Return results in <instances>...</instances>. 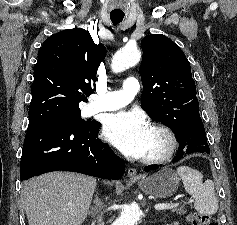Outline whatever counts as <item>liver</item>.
<instances>
[{
  "label": "liver",
  "instance_id": "liver-1",
  "mask_svg": "<svg viewBox=\"0 0 237 225\" xmlns=\"http://www.w3.org/2000/svg\"><path fill=\"white\" fill-rule=\"evenodd\" d=\"M96 179L71 172H50L24 184L29 225H81L86 219Z\"/></svg>",
  "mask_w": 237,
  "mask_h": 225
}]
</instances>
